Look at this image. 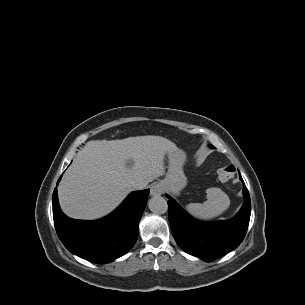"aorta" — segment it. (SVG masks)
<instances>
[{"label": "aorta", "instance_id": "obj_1", "mask_svg": "<svg viewBox=\"0 0 305 305\" xmlns=\"http://www.w3.org/2000/svg\"><path fill=\"white\" fill-rule=\"evenodd\" d=\"M149 209L155 214H164L168 210L167 201L161 196H154L148 201Z\"/></svg>", "mask_w": 305, "mask_h": 305}]
</instances>
